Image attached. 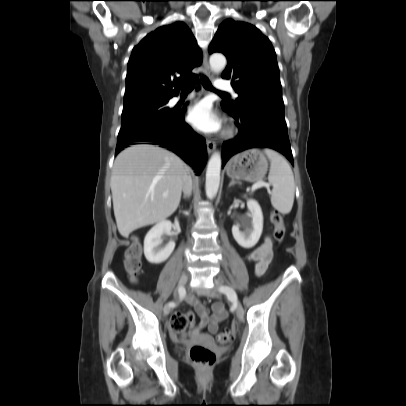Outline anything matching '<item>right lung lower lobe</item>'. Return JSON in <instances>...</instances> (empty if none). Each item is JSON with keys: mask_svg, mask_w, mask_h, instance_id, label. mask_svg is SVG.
Instances as JSON below:
<instances>
[{"mask_svg": "<svg viewBox=\"0 0 406 406\" xmlns=\"http://www.w3.org/2000/svg\"><path fill=\"white\" fill-rule=\"evenodd\" d=\"M184 116V110H174L172 117L165 123L118 135L116 154L129 145L148 142L174 152L195 167L199 175L207 159L206 142L184 122Z\"/></svg>", "mask_w": 406, "mask_h": 406, "instance_id": "right-lung-lower-lobe-1", "label": "right lung lower lobe"}]
</instances>
